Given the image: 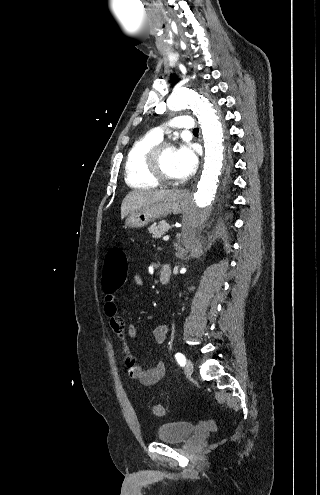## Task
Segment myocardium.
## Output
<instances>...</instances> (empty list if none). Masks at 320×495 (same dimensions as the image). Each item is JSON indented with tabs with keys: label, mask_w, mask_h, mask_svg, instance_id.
Segmentation results:
<instances>
[{
	"label": "myocardium",
	"mask_w": 320,
	"mask_h": 495,
	"mask_svg": "<svg viewBox=\"0 0 320 495\" xmlns=\"http://www.w3.org/2000/svg\"><path fill=\"white\" fill-rule=\"evenodd\" d=\"M170 141H162L149 149L146 154L145 162L148 172L158 181L163 183H175L176 178L168 176L162 169L161 157L167 148H173Z\"/></svg>",
	"instance_id": "myocardium-1"
}]
</instances>
